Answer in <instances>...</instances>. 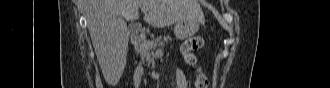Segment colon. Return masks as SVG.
<instances>
[{"label": "colon", "mask_w": 330, "mask_h": 88, "mask_svg": "<svg viewBox=\"0 0 330 88\" xmlns=\"http://www.w3.org/2000/svg\"><path fill=\"white\" fill-rule=\"evenodd\" d=\"M203 38L200 36H193L185 40L182 44L181 51L184 55L185 61L196 68L197 79L196 88H208V80L205 74L202 72L201 68L197 66V60L195 52L203 46Z\"/></svg>", "instance_id": "obj_1"}]
</instances>
